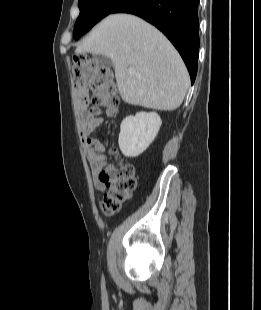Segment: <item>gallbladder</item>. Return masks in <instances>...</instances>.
Segmentation results:
<instances>
[{"label": "gallbladder", "mask_w": 261, "mask_h": 310, "mask_svg": "<svg viewBox=\"0 0 261 310\" xmlns=\"http://www.w3.org/2000/svg\"><path fill=\"white\" fill-rule=\"evenodd\" d=\"M93 59L100 66H104V67L112 66V60L105 55H95Z\"/></svg>", "instance_id": "bac80fb5"}]
</instances>
